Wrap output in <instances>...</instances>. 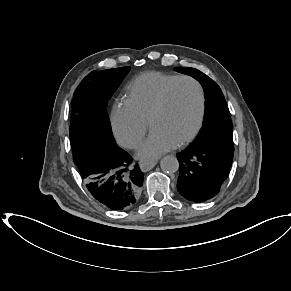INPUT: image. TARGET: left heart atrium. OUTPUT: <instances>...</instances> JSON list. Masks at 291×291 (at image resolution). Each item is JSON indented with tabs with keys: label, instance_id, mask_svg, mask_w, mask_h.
Wrapping results in <instances>:
<instances>
[{
	"label": "left heart atrium",
	"instance_id": "1",
	"mask_svg": "<svg viewBox=\"0 0 291 291\" xmlns=\"http://www.w3.org/2000/svg\"><path fill=\"white\" fill-rule=\"evenodd\" d=\"M176 147V143L165 134L152 130L140 146L137 157L142 162H151Z\"/></svg>",
	"mask_w": 291,
	"mask_h": 291
}]
</instances>
